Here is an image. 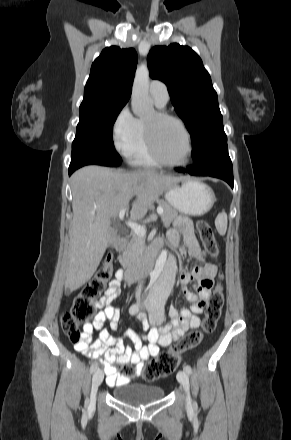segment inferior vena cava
<instances>
[{
  "label": "inferior vena cava",
  "instance_id": "obj_1",
  "mask_svg": "<svg viewBox=\"0 0 291 440\" xmlns=\"http://www.w3.org/2000/svg\"><path fill=\"white\" fill-rule=\"evenodd\" d=\"M141 290H142V282H140L138 288L136 289L135 296H136L137 301L140 300Z\"/></svg>",
  "mask_w": 291,
  "mask_h": 440
}]
</instances>
